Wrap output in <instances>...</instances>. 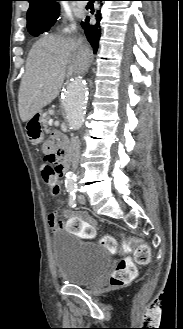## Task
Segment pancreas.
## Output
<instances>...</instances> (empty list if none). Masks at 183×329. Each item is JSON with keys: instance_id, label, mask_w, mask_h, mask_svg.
Wrapping results in <instances>:
<instances>
[{"instance_id": "pancreas-1", "label": "pancreas", "mask_w": 183, "mask_h": 329, "mask_svg": "<svg viewBox=\"0 0 183 329\" xmlns=\"http://www.w3.org/2000/svg\"><path fill=\"white\" fill-rule=\"evenodd\" d=\"M49 117H44V118H42V120H41V122H42V125H43V127H44V130L45 131H50V128H49V124H48V121H49Z\"/></svg>"}]
</instances>
